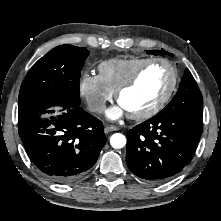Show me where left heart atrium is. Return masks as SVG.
<instances>
[{
    "label": "left heart atrium",
    "instance_id": "obj_1",
    "mask_svg": "<svg viewBox=\"0 0 221 221\" xmlns=\"http://www.w3.org/2000/svg\"><path fill=\"white\" fill-rule=\"evenodd\" d=\"M125 112L126 110L119 103L117 106L112 107L107 111V117L111 120H115L120 118Z\"/></svg>",
    "mask_w": 221,
    "mask_h": 221
}]
</instances>
